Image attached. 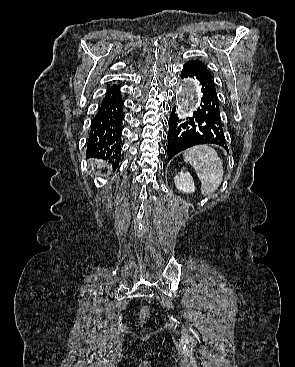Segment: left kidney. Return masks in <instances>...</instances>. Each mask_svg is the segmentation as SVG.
<instances>
[{"label":"left kidney","instance_id":"left-kidney-1","mask_svg":"<svg viewBox=\"0 0 295 367\" xmlns=\"http://www.w3.org/2000/svg\"><path fill=\"white\" fill-rule=\"evenodd\" d=\"M176 188L183 193H193L195 185L192 176L187 171H181L174 177Z\"/></svg>","mask_w":295,"mask_h":367}]
</instances>
